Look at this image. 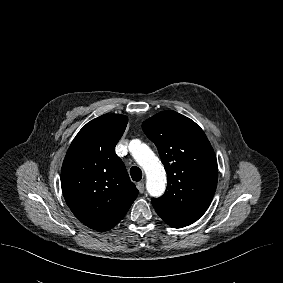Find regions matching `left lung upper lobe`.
Returning a JSON list of instances; mask_svg holds the SVG:
<instances>
[{
  "label": "left lung upper lobe",
  "mask_w": 283,
  "mask_h": 283,
  "mask_svg": "<svg viewBox=\"0 0 283 283\" xmlns=\"http://www.w3.org/2000/svg\"><path fill=\"white\" fill-rule=\"evenodd\" d=\"M142 128L158 148L168 178L164 195L151 200L155 211L173 228L194 223L208 209L217 185L210 142L194 121L175 111L152 116Z\"/></svg>",
  "instance_id": "5c2ea615"
}]
</instances>
